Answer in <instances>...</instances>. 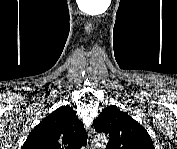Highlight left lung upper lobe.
<instances>
[{"label":"left lung upper lobe","instance_id":"5c2ea615","mask_svg":"<svg viewBox=\"0 0 177 149\" xmlns=\"http://www.w3.org/2000/svg\"><path fill=\"white\" fill-rule=\"evenodd\" d=\"M93 125L96 132L109 135L107 149H154L146 129L116 106L104 108Z\"/></svg>","mask_w":177,"mask_h":149}]
</instances>
